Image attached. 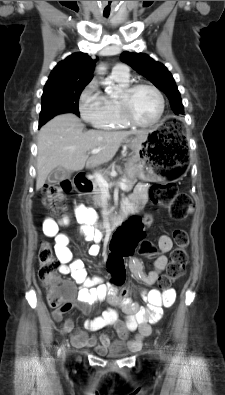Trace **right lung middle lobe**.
<instances>
[{
  "label": "right lung middle lobe",
  "instance_id": "dd1d6c3e",
  "mask_svg": "<svg viewBox=\"0 0 225 395\" xmlns=\"http://www.w3.org/2000/svg\"><path fill=\"white\" fill-rule=\"evenodd\" d=\"M85 86L74 84L45 87L42 95L39 126L61 113L70 112L79 116L78 100Z\"/></svg>",
  "mask_w": 225,
  "mask_h": 395
}]
</instances>
